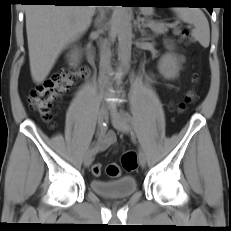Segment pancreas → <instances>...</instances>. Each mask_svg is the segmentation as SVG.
I'll use <instances>...</instances> for the list:
<instances>
[{"label": "pancreas", "instance_id": "1", "mask_svg": "<svg viewBox=\"0 0 231 231\" xmlns=\"http://www.w3.org/2000/svg\"><path fill=\"white\" fill-rule=\"evenodd\" d=\"M148 26L152 31L157 34H165L168 31L165 23L155 22V21H148Z\"/></svg>", "mask_w": 231, "mask_h": 231}]
</instances>
